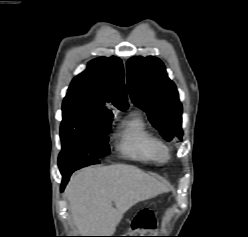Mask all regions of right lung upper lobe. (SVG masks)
Wrapping results in <instances>:
<instances>
[{
    "label": "right lung upper lobe",
    "instance_id": "right-lung-upper-lobe-1",
    "mask_svg": "<svg viewBox=\"0 0 248 237\" xmlns=\"http://www.w3.org/2000/svg\"><path fill=\"white\" fill-rule=\"evenodd\" d=\"M121 110L128 107L124 69L117 57H100L88 63L67 90L63 106H74L91 114L113 116L107 104Z\"/></svg>",
    "mask_w": 248,
    "mask_h": 237
}]
</instances>
